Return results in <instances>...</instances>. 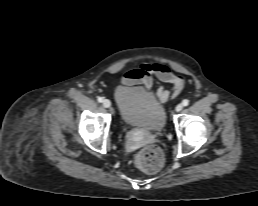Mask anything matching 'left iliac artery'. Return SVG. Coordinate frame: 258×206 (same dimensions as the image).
Segmentation results:
<instances>
[{"instance_id":"obj_1","label":"left iliac artery","mask_w":258,"mask_h":206,"mask_svg":"<svg viewBox=\"0 0 258 206\" xmlns=\"http://www.w3.org/2000/svg\"><path fill=\"white\" fill-rule=\"evenodd\" d=\"M182 105L183 106H188L189 105V101L188 100H183Z\"/></svg>"}]
</instances>
